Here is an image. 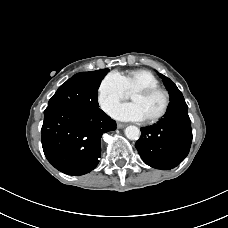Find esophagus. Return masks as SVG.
I'll return each instance as SVG.
<instances>
[{"label": "esophagus", "instance_id": "1", "mask_svg": "<svg viewBox=\"0 0 228 228\" xmlns=\"http://www.w3.org/2000/svg\"><path fill=\"white\" fill-rule=\"evenodd\" d=\"M126 125L125 124H123V123H117V128L118 129H122V128H124Z\"/></svg>", "mask_w": 228, "mask_h": 228}]
</instances>
